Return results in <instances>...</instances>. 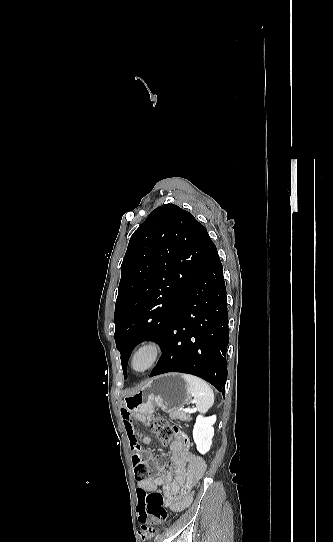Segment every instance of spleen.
Masks as SVG:
<instances>
[{
	"mask_svg": "<svg viewBox=\"0 0 333 542\" xmlns=\"http://www.w3.org/2000/svg\"><path fill=\"white\" fill-rule=\"evenodd\" d=\"M184 382H187L189 392L193 398V402L200 414H207L208 410L214 404V394L209 384L204 380L191 376V374H181Z\"/></svg>",
	"mask_w": 333,
	"mask_h": 542,
	"instance_id": "3e777b00",
	"label": "spleen"
}]
</instances>
